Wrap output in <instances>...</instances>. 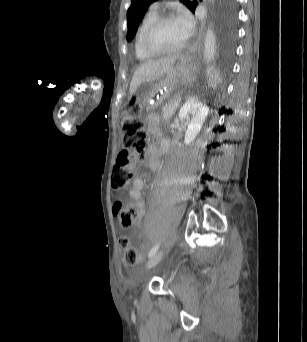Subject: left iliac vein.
<instances>
[{
    "mask_svg": "<svg viewBox=\"0 0 307 342\" xmlns=\"http://www.w3.org/2000/svg\"><path fill=\"white\" fill-rule=\"evenodd\" d=\"M164 254V249L157 251L147 262V268L155 267L160 260L162 259Z\"/></svg>",
    "mask_w": 307,
    "mask_h": 342,
    "instance_id": "left-iliac-vein-1",
    "label": "left iliac vein"
}]
</instances>
